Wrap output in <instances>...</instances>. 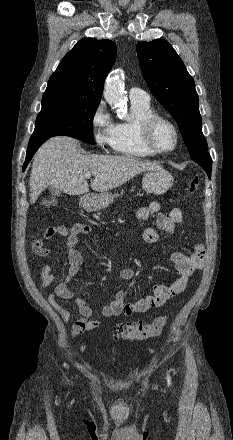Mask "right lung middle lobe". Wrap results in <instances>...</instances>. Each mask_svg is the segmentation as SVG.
Returning <instances> with one entry per match:
<instances>
[{
	"label": "right lung middle lobe",
	"instance_id": "obj_1",
	"mask_svg": "<svg viewBox=\"0 0 233 440\" xmlns=\"http://www.w3.org/2000/svg\"><path fill=\"white\" fill-rule=\"evenodd\" d=\"M99 102L57 99L42 102L32 138L70 136L95 144L93 118Z\"/></svg>",
	"mask_w": 233,
	"mask_h": 440
}]
</instances>
